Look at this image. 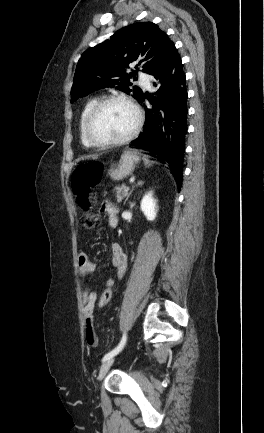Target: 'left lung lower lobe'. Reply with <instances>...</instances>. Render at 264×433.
<instances>
[{"instance_id": "left-lung-lower-lobe-1", "label": "left lung lower lobe", "mask_w": 264, "mask_h": 433, "mask_svg": "<svg viewBox=\"0 0 264 433\" xmlns=\"http://www.w3.org/2000/svg\"><path fill=\"white\" fill-rule=\"evenodd\" d=\"M151 75L155 78L153 85L158 90L153 95L143 94L138 101L143 103L147 99L151 107L145 106L144 130L131 143L135 148L152 151V155L168 166L180 188L187 132L188 93L186 75L177 50L171 51Z\"/></svg>"}]
</instances>
